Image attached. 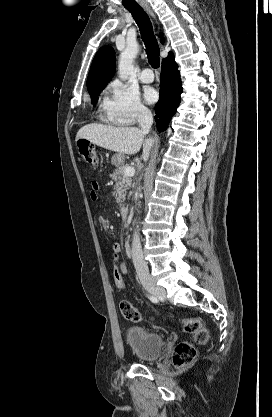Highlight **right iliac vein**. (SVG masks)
<instances>
[{"label": "right iliac vein", "instance_id": "obj_1", "mask_svg": "<svg viewBox=\"0 0 272 417\" xmlns=\"http://www.w3.org/2000/svg\"><path fill=\"white\" fill-rule=\"evenodd\" d=\"M143 287L158 297L164 298L166 296V291L161 286L157 285L150 277L142 276L140 278Z\"/></svg>", "mask_w": 272, "mask_h": 417}]
</instances>
